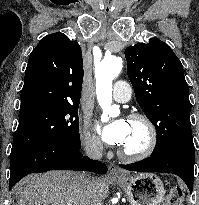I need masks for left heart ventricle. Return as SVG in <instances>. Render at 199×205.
<instances>
[{
    "instance_id": "1",
    "label": "left heart ventricle",
    "mask_w": 199,
    "mask_h": 205,
    "mask_svg": "<svg viewBox=\"0 0 199 205\" xmlns=\"http://www.w3.org/2000/svg\"><path fill=\"white\" fill-rule=\"evenodd\" d=\"M128 134L121 148L128 151L141 149L146 141V129L139 122L128 121Z\"/></svg>"
}]
</instances>
